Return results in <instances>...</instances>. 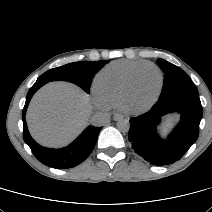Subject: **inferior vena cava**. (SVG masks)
Returning <instances> with one entry per match:
<instances>
[{"label": "inferior vena cava", "instance_id": "inferior-vena-cava-1", "mask_svg": "<svg viewBox=\"0 0 212 212\" xmlns=\"http://www.w3.org/2000/svg\"><path fill=\"white\" fill-rule=\"evenodd\" d=\"M110 117L107 113L98 112L91 118V123L94 126H103L109 121Z\"/></svg>", "mask_w": 212, "mask_h": 212}]
</instances>
